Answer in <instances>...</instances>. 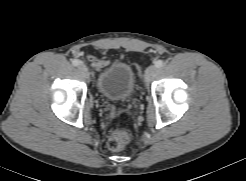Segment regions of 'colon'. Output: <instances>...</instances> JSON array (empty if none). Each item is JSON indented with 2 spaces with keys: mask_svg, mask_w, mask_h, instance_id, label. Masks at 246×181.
<instances>
[{
  "mask_svg": "<svg viewBox=\"0 0 246 181\" xmlns=\"http://www.w3.org/2000/svg\"><path fill=\"white\" fill-rule=\"evenodd\" d=\"M129 140L130 135L128 131L119 129L110 134L107 146L112 151H120L128 144Z\"/></svg>",
  "mask_w": 246,
  "mask_h": 181,
  "instance_id": "1",
  "label": "colon"
}]
</instances>
